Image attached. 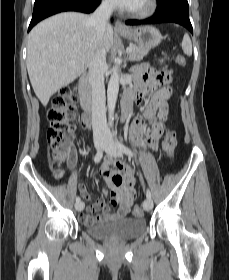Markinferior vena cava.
I'll use <instances>...</instances> for the list:
<instances>
[{
  "label": "inferior vena cava",
  "mask_w": 229,
  "mask_h": 280,
  "mask_svg": "<svg viewBox=\"0 0 229 280\" xmlns=\"http://www.w3.org/2000/svg\"><path fill=\"white\" fill-rule=\"evenodd\" d=\"M113 8L112 0H102L100 6L89 18V24L94 27L98 37L103 34ZM105 70L106 53L104 49L99 48L89 64V82L92 87V125L95 136H106L109 133L105 109Z\"/></svg>",
  "instance_id": "602c4592"
}]
</instances>
